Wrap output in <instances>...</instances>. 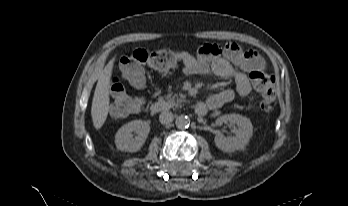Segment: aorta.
I'll use <instances>...</instances> for the list:
<instances>
[{"label":"aorta","instance_id":"1","mask_svg":"<svg viewBox=\"0 0 348 206\" xmlns=\"http://www.w3.org/2000/svg\"><path fill=\"white\" fill-rule=\"evenodd\" d=\"M175 124L177 128L184 129L189 126L190 119L188 118V116L180 115L176 118Z\"/></svg>","mask_w":348,"mask_h":206}]
</instances>
